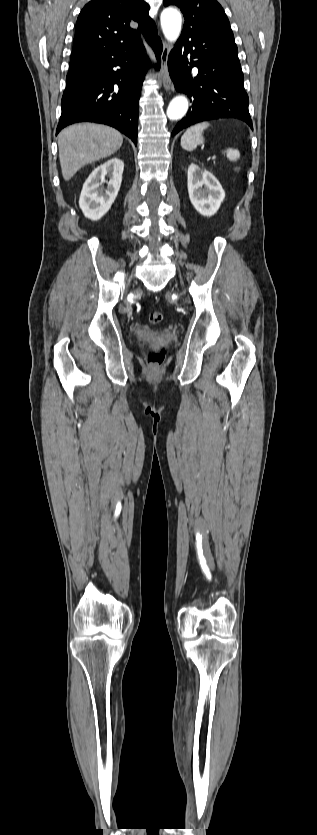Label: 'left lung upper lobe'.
<instances>
[{"label": "left lung upper lobe", "mask_w": 317, "mask_h": 835, "mask_svg": "<svg viewBox=\"0 0 317 835\" xmlns=\"http://www.w3.org/2000/svg\"><path fill=\"white\" fill-rule=\"evenodd\" d=\"M164 5H176L184 14L181 36L211 32L234 41L229 20L216 0H164Z\"/></svg>", "instance_id": "obj_1"}]
</instances>
